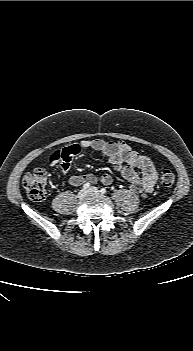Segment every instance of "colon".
Segmentation results:
<instances>
[{"instance_id": "1", "label": "colon", "mask_w": 193, "mask_h": 351, "mask_svg": "<svg viewBox=\"0 0 193 351\" xmlns=\"http://www.w3.org/2000/svg\"><path fill=\"white\" fill-rule=\"evenodd\" d=\"M160 182L164 187L173 186L175 183L174 172L167 167H162L160 169ZM22 184L31 199L35 201H42L45 199L47 194V174L42 168H36L32 172L27 173L23 177Z\"/></svg>"}]
</instances>
